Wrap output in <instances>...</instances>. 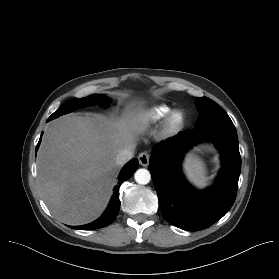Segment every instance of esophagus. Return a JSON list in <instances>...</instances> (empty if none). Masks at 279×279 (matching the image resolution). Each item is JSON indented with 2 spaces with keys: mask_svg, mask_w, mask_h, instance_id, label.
Masks as SVG:
<instances>
[{
  "mask_svg": "<svg viewBox=\"0 0 279 279\" xmlns=\"http://www.w3.org/2000/svg\"><path fill=\"white\" fill-rule=\"evenodd\" d=\"M138 160H139V163L142 165V166H148L149 165V161H150V156L147 152H142L139 154L138 156Z\"/></svg>",
  "mask_w": 279,
  "mask_h": 279,
  "instance_id": "1",
  "label": "esophagus"
}]
</instances>
